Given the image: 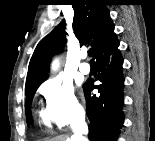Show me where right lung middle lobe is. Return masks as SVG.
<instances>
[{"label": "right lung middle lobe", "instance_id": "right-lung-middle-lobe-1", "mask_svg": "<svg viewBox=\"0 0 155 141\" xmlns=\"http://www.w3.org/2000/svg\"><path fill=\"white\" fill-rule=\"evenodd\" d=\"M42 82L26 87L25 109H26V121L28 124L32 123L31 112L29 108H30L34 93Z\"/></svg>", "mask_w": 155, "mask_h": 141}]
</instances>
